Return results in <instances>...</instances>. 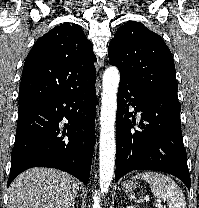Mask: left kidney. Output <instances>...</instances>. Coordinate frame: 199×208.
Wrapping results in <instances>:
<instances>
[{"label":"left kidney","mask_w":199,"mask_h":208,"mask_svg":"<svg viewBox=\"0 0 199 208\" xmlns=\"http://www.w3.org/2000/svg\"><path fill=\"white\" fill-rule=\"evenodd\" d=\"M127 208H135L134 206H127Z\"/></svg>","instance_id":"obj_1"}]
</instances>
